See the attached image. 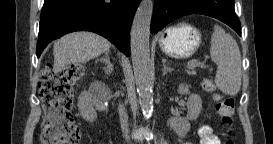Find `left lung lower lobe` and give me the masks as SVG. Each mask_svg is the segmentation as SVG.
Here are the masks:
<instances>
[{"label":"left lung lower lobe","instance_id":"left-lung-lower-lobe-1","mask_svg":"<svg viewBox=\"0 0 273 144\" xmlns=\"http://www.w3.org/2000/svg\"><path fill=\"white\" fill-rule=\"evenodd\" d=\"M190 14L217 18L241 36V25L234 11V0H155L151 32L155 34L173 20Z\"/></svg>","mask_w":273,"mask_h":144}]
</instances>
